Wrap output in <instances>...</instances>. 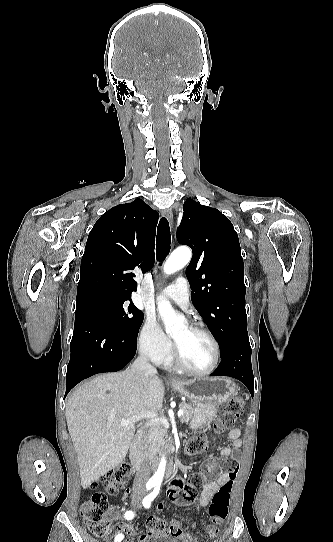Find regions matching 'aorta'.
Masks as SVG:
<instances>
[{"mask_svg": "<svg viewBox=\"0 0 333 542\" xmlns=\"http://www.w3.org/2000/svg\"><path fill=\"white\" fill-rule=\"evenodd\" d=\"M190 258V250H186V252H183V250H174V252H172L171 256H169L168 260H166L164 264L165 274H175V272H178V270H182V268H184V266L188 264ZM157 306L158 312L165 324V330L167 334H171L174 328H177V326H181L182 318L181 316H177L175 310H173L168 300H161V302H158ZM165 470L166 460L165 458H162L158 466L157 472H155L154 476H152L151 478L156 488H160L163 482Z\"/></svg>", "mask_w": 333, "mask_h": 542, "instance_id": "aorta-1", "label": "aorta"}]
</instances>
